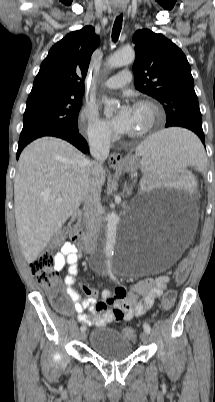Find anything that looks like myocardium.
Masks as SVG:
<instances>
[{
	"label": "myocardium",
	"instance_id": "myocardium-1",
	"mask_svg": "<svg viewBox=\"0 0 215 402\" xmlns=\"http://www.w3.org/2000/svg\"><path fill=\"white\" fill-rule=\"evenodd\" d=\"M134 107L146 108L149 112V120L145 127L136 133L129 134L130 138L137 139L148 135L154 129L160 116V108L154 101L150 99H140L135 102Z\"/></svg>",
	"mask_w": 215,
	"mask_h": 402
}]
</instances>
